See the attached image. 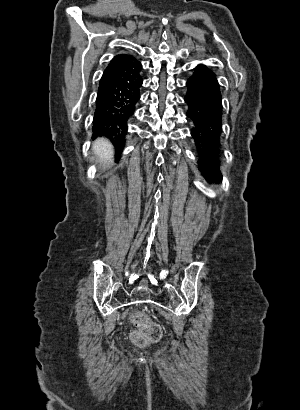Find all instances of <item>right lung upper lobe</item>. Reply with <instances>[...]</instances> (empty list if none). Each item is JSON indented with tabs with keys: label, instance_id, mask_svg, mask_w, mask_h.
I'll use <instances>...</instances> for the list:
<instances>
[{
	"label": "right lung upper lobe",
	"instance_id": "1",
	"mask_svg": "<svg viewBox=\"0 0 300 410\" xmlns=\"http://www.w3.org/2000/svg\"><path fill=\"white\" fill-rule=\"evenodd\" d=\"M129 57H132V56L128 55V54H119V55L115 56L114 59L111 62L118 61V60L125 59V58H129Z\"/></svg>",
	"mask_w": 300,
	"mask_h": 410
}]
</instances>
